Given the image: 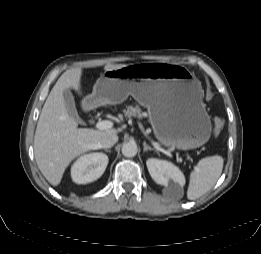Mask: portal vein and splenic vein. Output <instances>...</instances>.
Listing matches in <instances>:
<instances>
[{"mask_svg": "<svg viewBox=\"0 0 261 254\" xmlns=\"http://www.w3.org/2000/svg\"><path fill=\"white\" fill-rule=\"evenodd\" d=\"M112 127H113V123L109 120L98 121L96 123V128L99 130H107V129H111Z\"/></svg>", "mask_w": 261, "mask_h": 254, "instance_id": "18ae733b", "label": "portal vein and splenic vein"}]
</instances>
